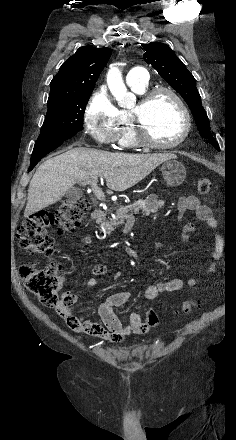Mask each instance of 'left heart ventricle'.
Segmentation results:
<instances>
[{
	"label": "left heart ventricle",
	"instance_id": "left-heart-ventricle-1",
	"mask_svg": "<svg viewBox=\"0 0 236 440\" xmlns=\"http://www.w3.org/2000/svg\"><path fill=\"white\" fill-rule=\"evenodd\" d=\"M147 131L157 143H170L184 130V118L176 101L167 94L154 99L144 114Z\"/></svg>",
	"mask_w": 236,
	"mask_h": 440
}]
</instances>
